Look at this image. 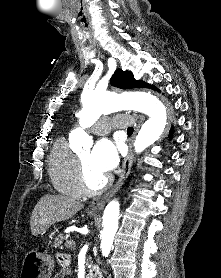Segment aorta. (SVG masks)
<instances>
[{
    "label": "aorta",
    "mask_w": 221,
    "mask_h": 278,
    "mask_svg": "<svg viewBox=\"0 0 221 278\" xmlns=\"http://www.w3.org/2000/svg\"><path fill=\"white\" fill-rule=\"evenodd\" d=\"M83 108L79 116L80 127L71 132V143L85 144L89 137L84 131L92 126L102 114L121 109H133L149 116L142 125L134 142L136 153L142 152L154 143L166 126V108L155 96L149 93H137L125 99L108 92L91 91L82 96ZM120 205L116 200L110 201L103 213V230L100 238L102 255L107 257L112 249L114 236L118 230Z\"/></svg>",
    "instance_id": "aorta-1"
}]
</instances>
